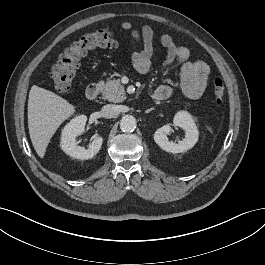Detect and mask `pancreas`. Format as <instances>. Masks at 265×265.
I'll return each instance as SVG.
<instances>
[{"instance_id": "pancreas-1", "label": "pancreas", "mask_w": 265, "mask_h": 265, "mask_svg": "<svg viewBox=\"0 0 265 265\" xmlns=\"http://www.w3.org/2000/svg\"><path fill=\"white\" fill-rule=\"evenodd\" d=\"M102 89V98L110 102H122L126 99L124 87L119 79L108 80L106 83L100 81L98 84Z\"/></svg>"}]
</instances>
